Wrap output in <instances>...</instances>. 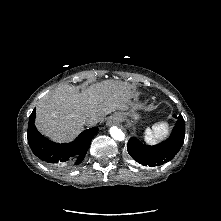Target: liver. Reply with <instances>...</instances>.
<instances>
[{"instance_id": "liver-1", "label": "liver", "mask_w": 221, "mask_h": 221, "mask_svg": "<svg viewBox=\"0 0 221 221\" xmlns=\"http://www.w3.org/2000/svg\"><path fill=\"white\" fill-rule=\"evenodd\" d=\"M133 95V86L119 80H104L81 92L61 85L39 100L36 127L53 141L67 142L83 131L87 118L100 122L116 110H125Z\"/></svg>"}]
</instances>
